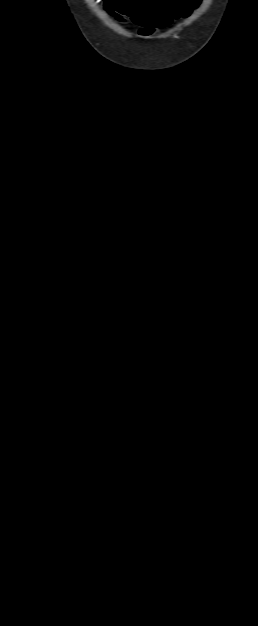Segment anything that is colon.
I'll use <instances>...</instances> for the list:
<instances>
[{
  "label": "colon",
  "mask_w": 258,
  "mask_h": 626,
  "mask_svg": "<svg viewBox=\"0 0 258 626\" xmlns=\"http://www.w3.org/2000/svg\"><path fill=\"white\" fill-rule=\"evenodd\" d=\"M117 7H118V9H120V10H122V9H123V8H121V7H119V6H117ZM153 22H154V24H153V25H155V24L162 25V22H161V21H157V20H155V19H154V20H153Z\"/></svg>",
  "instance_id": "5ec220e1"
}]
</instances>
